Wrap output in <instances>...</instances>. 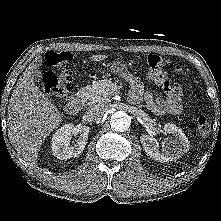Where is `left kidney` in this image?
Returning a JSON list of instances; mask_svg holds the SVG:
<instances>
[{
    "label": "left kidney",
    "mask_w": 221,
    "mask_h": 221,
    "mask_svg": "<svg viewBox=\"0 0 221 221\" xmlns=\"http://www.w3.org/2000/svg\"><path fill=\"white\" fill-rule=\"evenodd\" d=\"M163 131L172 134L162 142V149L155 138L149 135L140 137L141 144L147 155L158 162H169L178 159L189 150V141L183 131L174 124H166Z\"/></svg>",
    "instance_id": "1"
}]
</instances>
